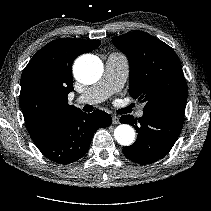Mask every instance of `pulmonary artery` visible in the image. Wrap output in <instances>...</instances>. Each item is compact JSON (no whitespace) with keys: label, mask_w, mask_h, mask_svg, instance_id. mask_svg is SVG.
<instances>
[{"label":"pulmonary artery","mask_w":211,"mask_h":211,"mask_svg":"<svg viewBox=\"0 0 211 211\" xmlns=\"http://www.w3.org/2000/svg\"><path fill=\"white\" fill-rule=\"evenodd\" d=\"M128 71V62L123 55L115 52L109 54L105 62V71L101 82L80 95L77 101L79 103L95 104L106 100L124 85L128 77ZM137 116H143L142 109L137 112Z\"/></svg>","instance_id":"obj_1"}]
</instances>
